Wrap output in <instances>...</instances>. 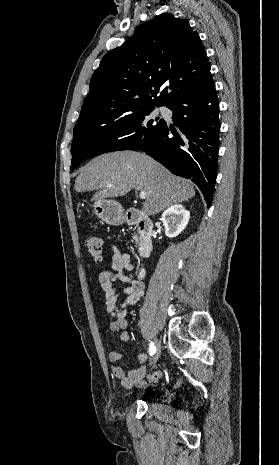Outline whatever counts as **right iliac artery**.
I'll return each instance as SVG.
<instances>
[{
	"instance_id": "1",
	"label": "right iliac artery",
	"mask_w": 279,
	"mask_h": 465,
	"mask_svg": "<svg viewBox=\"0 0 279 465\" xmlns=\"http://www.w3.org/2000/svg\"><path fill=\"white\" fill-rule=\"evenodd\" d=\"M155 352H156V347H155L154 343L151 342L149 344V353H150V355H153Z\"/></svg>"
}]
</instances>
